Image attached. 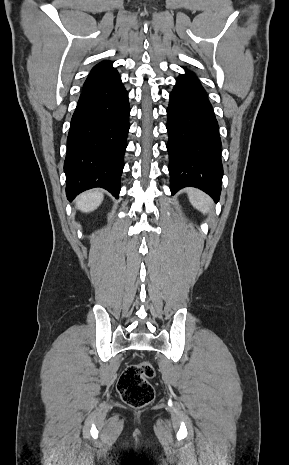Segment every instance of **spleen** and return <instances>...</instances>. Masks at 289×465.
<instances>
[{"label":"spleen","mask_w":289,"mask_h":465,"mask_svg":"<svg viewBox=\"0 0 289 465\" xmlns=\"http://www.w3.org/2000/svg\"><path fill=\"white\" fill-rule=\"evenodd\" d=\"M187 193L189 201L197 210L203 214L208 213L212 201L207 194L194 188L187 189Z\"/></svg>","instance_id":"3e777b00"}]
</instances>
